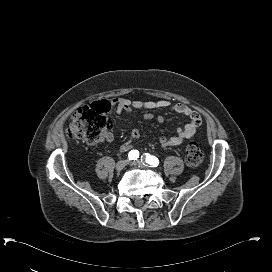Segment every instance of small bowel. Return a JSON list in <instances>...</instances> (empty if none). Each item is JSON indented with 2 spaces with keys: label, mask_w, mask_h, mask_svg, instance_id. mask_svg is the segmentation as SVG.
Returning <instances> with one entry per match:
<instances>
[{
  "label": "small bowel",
  "mask_w": 272,
  "mask_h": 272,
  "mask_svg": "<svg viewBox=\"0 0 272 272\" xmlns=\"http://www.w3.org/2000/svg\"><path fill=\"white\" fill-rule=\"evenodd\" d=\"M112 103L116 106V112L129 113L132 109H168L180 115L189 118V123H187L183 128H180L177 133L173 136L166 137L162 136L159 140L162 147H177L184 143V141L194 135L197 128L200 126L201 118L193 111L190 107L184 104L171 105L168 101H130L129 99L117 97L112 99ZM152 117L150 112H145L143 118L148 120ZM159 120H162L160 117ZM140 137V132L135 129L131 133L129 140L124 142L120 150L122 152H127L134 148V141ZM104 142L110 143L114 139V135L110 129L105 131L102 137Z\"/></svg>",
  "instance_id": "c3829d8e"
}]
</instances>
